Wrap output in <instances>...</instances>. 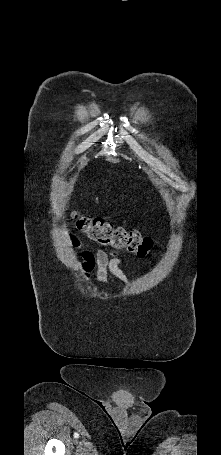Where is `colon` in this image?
<instances>
[{
  "mask_svg": "<svg viewBox=\"0 0 221 455\" xmlns=\"http://www.w3.org/2000/svg\"><path fill=\"white\" fill-rule=\"evenodd\" d=\"M72 216L78 229L101 246L126 250L140 258L154 256L151 238L137 230L114 227L100 218L83 215L77 210L72 211Z\"/></svg>",
  "mask_w": 221,
  "mask_h": 455,
  "instance_id": "5ec220e1",
  "label": "colon"
}]
</instances>
